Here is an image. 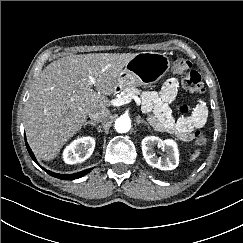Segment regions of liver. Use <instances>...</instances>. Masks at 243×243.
I'll use <instances>...</instances> for the list:
<instances>
[{
  "mask_svg": "<svg viewBox=\"0 0 243 243\" xmlns=\"http://www.w3.org/2000/svg\"><path fill=\"white\" fill-rule=\"evenodd\" d=\"M134 55H69L44 68L25 106L27 139L39 158L54 159L82 128L90 111L111 105L107 96L116 91L118 76Z\"/></svg>",
  "mask_w": 243,
  "mask_h": 243,
  "instance_id": "liver-1",
  "label": "liver"
}]
</instances>
